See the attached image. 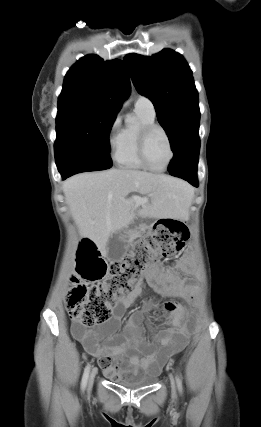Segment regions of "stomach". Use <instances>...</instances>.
I'll return each mask as SVG.
<instances>
[{
    "label": "stomach",
    "instance_id": "obj_1",
    "mask_svg": "<svg viewBox=\"0 0 261 427\" xmlns=\"http://www.w3.org/2000/svg\"><path fill=\"white\" fill-rule=\"evenodd\" d=\"M138 228L135 226L132 230H131V232H135L136 230H137Z\"/></svg>",
    "mask_w": 261,
    "mask_h": 427
}]
</instances>
